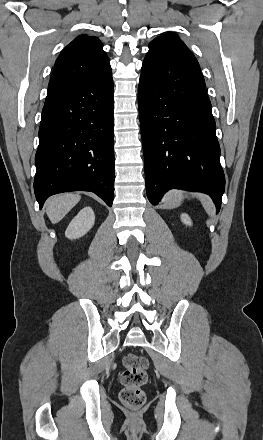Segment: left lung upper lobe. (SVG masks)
<instances>
[{"label":"left lung upper lobe","instance_id":"left-lung-upper-lobe-1","mask_svg":"<svg viewBox=\"0 0 263 440\" xmlns=\"http://www.w3.org/2000/svg\"><path fill=\"white\" fill-rule=\"evenodd\" d=\"M168 47L175 48L191 63L200 68L198 61L189 50V48L179 39L177 35L171 32H167L151 41V43L149 44V51L146 54L144 62H156L163 55Z\"/></svg>","mask_w":263,"mask_h":440}]
</instances>
